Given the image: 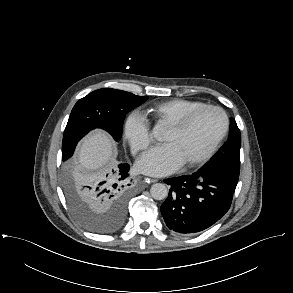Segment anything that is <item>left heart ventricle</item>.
I'll return each mask as SVG.
<instances>
[{
    "mask_svg": "<svg viewBox=\"0 0 293 293\" xmlns=\"http://www.w3.org/2000/svg\"><path fill=\"white\" fill-rule=\"evenodd\" d=\"M223 126L222 115L208 110L199 114L182 132H173L167 128L163 141L173 146L184 164L204 154L221 133Z\"/></svg>",
    "mask_w": 293,
    "mask_h": 293,
    "instance_id": "obj_1",
    "label": "left heart ventricle"
}]
</instances>
